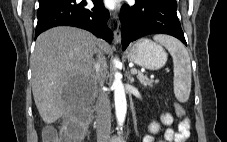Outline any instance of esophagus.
<instances>
[{
	"label": "esophagus",
	"mask_w": 227,
	"mask_h": 142,
	"mask_svg": "<svg viewBox=\"0 0 227 142\" xmlns=\"http://www.w3.org/2000/svg\"><path fill=\"white\" fill-rule=\"evenodd\" d=\"M112 19L116 22V28L114 30V40H115L116 44H120L121 43V32L119 29V17L116 12H114L112 14Z\"/></svg>",
	"instance_id": "1"
}]
</instances>
